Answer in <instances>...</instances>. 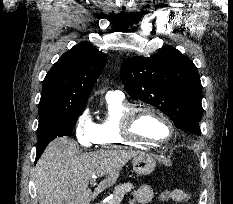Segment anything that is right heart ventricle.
Instances as JSON below:
<instances>
[{
	"label": "right heart ventricle",
	"instance_id": "obj_1",
	"mask_svg": "<svg viewBox=\"0 0 233 204\" xmlns=\"http://www.w3.org/2000/svg\"><path fill=\"white\" fill-rule=\"evenodd\" d=\"M131 107L132 105L124 97H106L104 115L95 124L97 145L102 148L142 147L145 145L129 141L122 135V119Z\"/></svg>",
	"mask_w": 233,
	"mask_h": 204
}]
</instances>
